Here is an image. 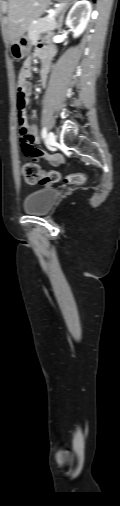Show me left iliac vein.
Returning <instances> with one entry per match:
<instances>
[{"label":"left iliac vein","mask_w":120,"mask_h":506,"mask_svg":"<svg viewBox=\"0 0 120 506\" xmlns=\"http://www.w3.org/2000/svg\"><path fill=\"white\" fill-rule=\"evenodd\" d=\"M47 139L50 144H54L56 142V136L53 132H49Z\"/></svg>","instance_id":"1"}]
</instances>
